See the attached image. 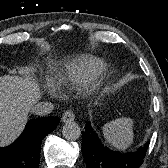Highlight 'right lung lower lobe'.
Wrapping results in <instances>:
<instances>
[{
    "mask_svg": "<svg viewBox=\"0 0 168 168\" xmlns=\"http://www.w3.org/2000/svg\"><path fill=\"white\" fill-rule=\"evenodd\" d=\"M59 121L58 117L30 120L11 146L0 148V168H38L42 139L55 130Z\"/></svg>",
    "mask_w": 168,
    "mask_h": 168,
    "instance_id": "98d812e1",
    "label": "right lung lower lobe"
}]
</instances>
